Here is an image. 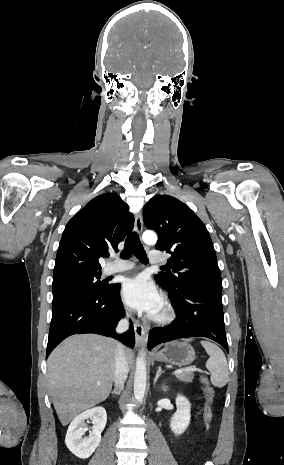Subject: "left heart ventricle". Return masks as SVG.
<instances>
[{"label": "left heart ventricle", "mask_w": 284, "mask_h": 465, "mask_svg": "<svg viewBox=\"0 0 284 465\" xmlns=\"http://www.w3.org/2000/svg\"><path fill=\"white\" fill-rule=\"evenodd\" d=\"M160 313H161V310L159 309V310L156 312V314H160Z\"/></svg>", "instance_id": "obj_1"}]
</instances>
